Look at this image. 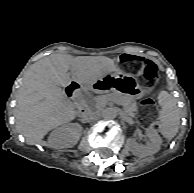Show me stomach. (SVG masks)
Wrapping results in <instances>:
<instances>
[{"instance_id": "obj_1", "label": "stomach", "mask_w": 194, "mask_h": 193, "mask_svg": "<svg viewBox=\"0 0 194 193\" xmlns=\"http://www.w3.org/2000/svg\"><path fill=\"white\" fill-rule=\"evenodd\" d=\"M93 86L95 89L101 91H107L108 89L120 90L127 96L133 98L141 97L147 91L144 87L139 85L134 76L119 71L103 75Z\"/></svg>"}]
</instances>
